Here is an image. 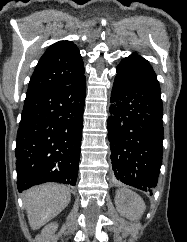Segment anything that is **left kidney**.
I'll list each match as a JSON object with an SVG mask.
<instances>
[{
	"mask_svg": "<svg viewBox=\"0 0 187 242\" xmlns=\"http://www.w3.org/2000/svg\"><path fill=\"white\" fill-rule=\"evenodd\" d=\"M115 205L121 215L130 219L140 218L146 208L143 199L128 189L116 191Z\"/></svg>",
	"mask_w": 187,
	"mask_h": 242,
	"instance_id": "5707ae66",
	"label": "left kidney"
}]
</instances>
